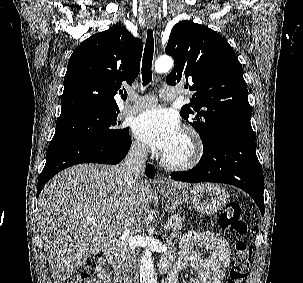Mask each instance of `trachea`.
Instances as JSON below:
<instances>
[{"mask_svg": "<svg viewBox=\"0 0 303 283\" xmlns=\"http://www.w3.org/2000/svg\"><path fill=\"white\" fill-rule=\"evenodd\" d=\"M154 54V38L151 29H148L147 39L142 60V81L143 86H146L152 81V61Z\"/></svg>", "mask_w": 303, "mask_h": 283, "instance_id": "obj_1", "label": "trachea"}]
</instances>
